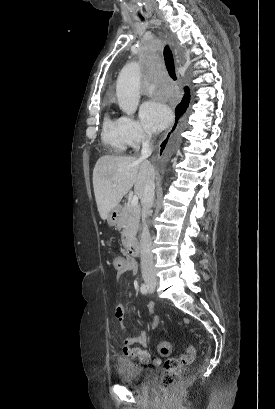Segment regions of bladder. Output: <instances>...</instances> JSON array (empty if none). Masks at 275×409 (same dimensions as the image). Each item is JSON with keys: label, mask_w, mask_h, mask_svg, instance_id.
Masks as SVG:
<instances>
[{"label": "bladder", "mask_w": 275, "mask_h": 409, "mask_svg": "<svg viewBox=\"0 0 275 409\" xmlns=\"http://www.w3.org/2000/svg\"><path fill=\"white\" fill-rule=\"evenodd\" d=\"M117 380L124 384L141 389L145 385L152 383L156 374L151 368L140 366L136 362L120 361L116 365Z\"/></svg>", "instance_id": "1"}]
</instances>
